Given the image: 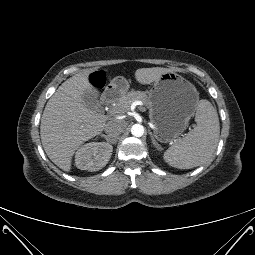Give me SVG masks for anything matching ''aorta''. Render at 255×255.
<instances>
[{"label": "aorta", "instance_id": "762f6f07", "mask_svg": "<svg viewBox=\"0 0 255 255\" xmlns=\"http://www.w3.org/2000/svg\"><path fill=\"white\" fill-rule=\"evenodd\" d=\"M131 134L135 137H141L144 134V127L141 124H134L131 127Z\"/></svg>", "mask_w": 255, "mask_h": 255}]
</instances>
